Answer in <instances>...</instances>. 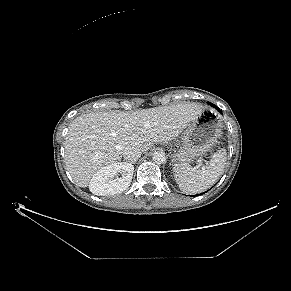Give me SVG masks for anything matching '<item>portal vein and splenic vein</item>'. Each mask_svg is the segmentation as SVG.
<instances>
[{
	"label": "portal vein and splenic vein",
	"instance_id": "portal-vein-and-splenic-vein-1",
	"mask_svg": "<svg viewBox=\"0 0 291 291\" xmlns=\"http://www.w3.org/2000/svg\"><path fill=\"white\" fill-rule=\"evenodd\" d=\"M199 165H202V162L201 161H199Z\"/></svg>",
	"mask_w": 291,
	"mask_h": 291
}]
</instances>
